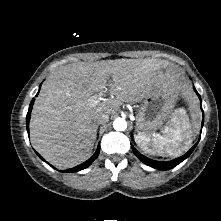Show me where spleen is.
<instances>
[{"label":"spleen","instance_id":"3e777b00","mask_svg":"<svg viewBox=\"0 0 221 221\" xmlns=\"http://www.w3.org/2000/svg\"><path fill=\"white\" fill-rule=\"evenodd\" d=\"M192 126L186 110L178 109L172 113L169 125L165 127L162 135L138 133L134 135V139L146 153L177 157L187 151L193 142Z\"/></svg>","mask_w":221,"mask_h":221}]
</instances>
